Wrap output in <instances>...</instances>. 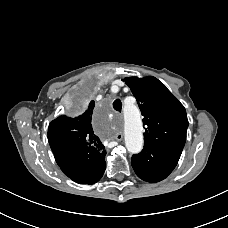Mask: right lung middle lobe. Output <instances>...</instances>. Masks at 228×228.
Wrapping results in <instances>:
<instances>
[{"label":"right lung middle lobe","instance_id":"dd1d6c3e","mask_svg":"<svg viewBox=\"0 0 228 228\" xmlns=\"http://www.w3.org/2000/svg\"><path fill=\"white\" fill-rule=\"evenodd\" d=\"M91 92L89 89H86L82 92H80L77 97L74 99V107L77 110L84 109L90 100Z\"/></svg>","mask_w":228,"mask_h":228}]
</instances>
